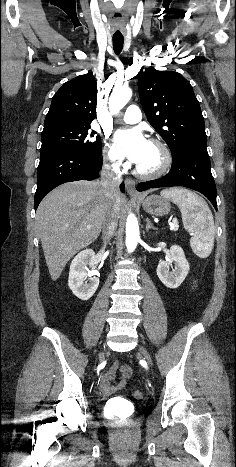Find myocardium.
I'll list each match as a JSON object with an SVG mask.
<instances>
[{
  "mask_svg": "<svg viewBox=\"0 0 236 467\" xmlns=\"http://www.w3.org/2000/svg\"><path fill=\"white\" fill-rule=\"evenodd\" d=\"M149 143L156 146L161 153V162L159 166L151 171L141 169L138 165L135 167V174L142 179H156L163 176L172 166L173 157L168 145L159 138H151Z\"/></svg>",
  "mask_w": 236,
  "mask_h": 467,
  "instance_id": "1",
  "label": "myocardium"
}]
</instances>
